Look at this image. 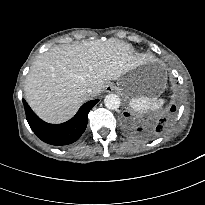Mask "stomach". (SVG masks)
<instances>
[{"label":"stomach","mask_w":205,"mask_h":205,"mask_svg":"<svg viewBox=\"0 0 205 205\" xmlns=\"http://www.w3.org/2000/svg\"><path fill=\"white\" fill-rule=\"evenodd\" d=\"M146 67H134L117 83V89L128 97L157 98L165 87V81L146 78Z\"/></svg>","instance_id":"stomach-1"}]
</instances>
